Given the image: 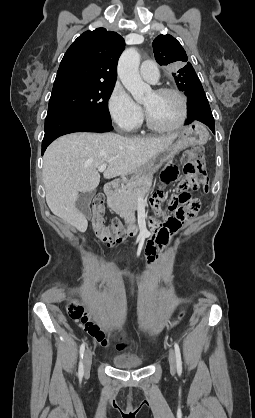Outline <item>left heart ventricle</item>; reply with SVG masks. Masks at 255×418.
I'll return each instance as SVG.
<instances>
[{"label": "left heart ventricle", "mask_w": 255, "mask_h": 418, "mask_svg": "<svg viewBox=\"0 0 255 418\" xmlns=\"http://www.w3.org/2000/svg\"><path fill=\"white\" fill-rule=\"evenodd\" d=\"M152 121L161 127L176 124L182 114L180 99L172 93L157 94L151 92L143 101Z\"/></svg>", "instance_id": "obj_1"}]
</instances>
